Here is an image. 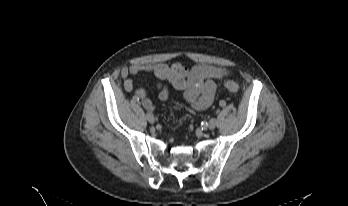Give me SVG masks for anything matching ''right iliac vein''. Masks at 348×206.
I'll use <instances>...</instances> for the list:
<instances>
[{
    "instance_id": "63e3f726",
    "label": "right iliac vein",
    "mask_w": 348,
    "mask_h": 206,
    "mask_svg": "<svg viewBox=\"0 0 348 206\" xmlns=\"http://www.w3.org/2000/svg\"><path fill=\"white\" fill-rule=\"evenodd\" d=\"M146 118H147L148 122L151 123V124H153L155 122V118H154L153 114L150 113V112H148L146 114Z\"/></svg>"
}]
</instances>
